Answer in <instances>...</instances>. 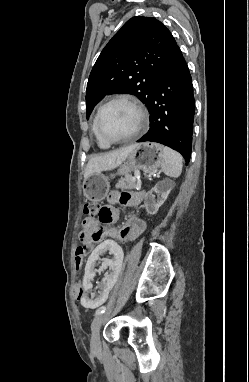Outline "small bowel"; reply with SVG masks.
Returning <instances> with one entry per match:
<instances>
[{
	"label": "small bowel",
	"mask_w": 249,
	"mask_h": 382,
	"mask_svg": "<svg viewBox=\"0 0 249 382\" xmlns=\"http://www.w3.org/2000/svg\"><path fill=\"white\" fill-rule=\"evenodd\" d=\"M142 200L143 195L139 193L111 192L108 196V205L103 207V209L108 212V215L100 218L86 217L83 219L82 229L78 234V239L82 246L78 247L77 250L81 249L86 252L87 250L94 249L95 246L93 243L99 242L105 235L104 230L99 227V222L107 224L115 222L119 215L118 205L134 207L138 206ZM145 228L146 222L143 218L137 215H131L127 218L123 227L117 232V236L122 240H132L138 237ZM77 299L79 301V296Z\"/></svg>",
	"instance_id": "c3829d8e"
}]
</instances>
